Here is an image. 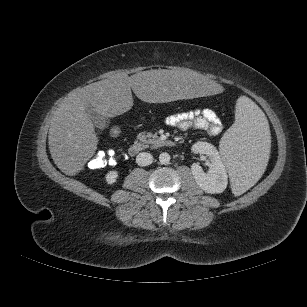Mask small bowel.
Returning <instances> with one entry per match:
<instances>
[{
  "mask_svg": "<svg viewBox=\"0 0 307 307\" xmlns=\"http://www.w3.org/2000/svg\"><path fill=\"white\" fill-rule=\"evenodd\" d=\"M165 123L181 131L202 129L211 136L220 134L223 129L219 116L209 108L171 114L165 118Z\"/></svg>",
  "mask_w": 307,
  "mask_h": 307,
  "instance_id": "obj_1",
  "label": "small bowel"
}]
</instances>
